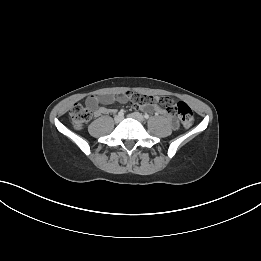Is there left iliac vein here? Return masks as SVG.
<instances>
[{"label": "left iliac vein", "instance_id": "4c4485c4", "mask_svg": "<svg viewBox=\"0 0 261 261\" xmlns=\"http://www.w3.org/2000/svg\"><path fill=\"white\" fill-rule=\"evenodd\" d=\"M130 118H133L139 122H143L144 121V117L142 116V114L138 113V112H134L128 115Z\"/></svg>", "mask_w": 261, "mask_h": 261}]
</instances>
